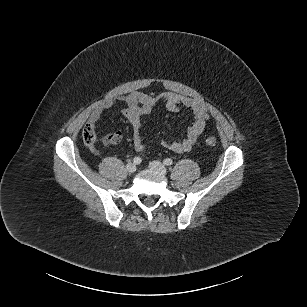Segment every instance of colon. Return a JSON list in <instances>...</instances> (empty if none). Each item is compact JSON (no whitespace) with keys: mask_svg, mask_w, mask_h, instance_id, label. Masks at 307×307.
<instances>
[{"mask_svg":"<svg viewBox=\"0 0 307 307\" xmlns=\"http://www.w3.org/2000/svg\"><path fill=\"white\" fill-rule=\"evenodd\" d=\"M121 139V134L118 132L108 134L103 138V143L106 146L117 144ZM83 140L86 145H93L96 140V132L93 126L87 124L83 129ZM205 143L207 146H215L216 139L214 137H207L205 139Z\"/></svg>","mask_w":307,"mask_h":307,"instance_id":"5ec220e1","label":"colon"}]
</instances>
